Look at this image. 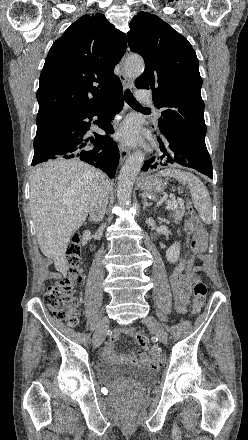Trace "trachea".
Returning a JSON list of instances; mask_svg holds the SVG:
<instances>
[{"label":"trachea","mask_w":248,"mask_h":440,"mask_svg":"<svg viewBox=\"0 0 248 440\" xmlns=\"http://www.w3.org/2000/svg\"><path fill=\"white\" fill-rule=\"evenodd\" d=\"M124 98L125 101L133 108L135 109H140V110H145V111H150L148 108H144L133 96V94L131 93V91L129 89H126L124 92Z\"/></svg>","instance_id":"1"}]
</instances>
